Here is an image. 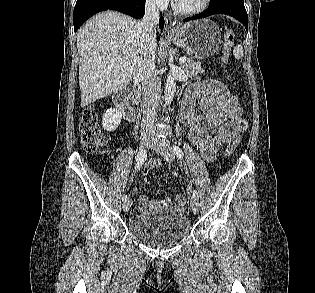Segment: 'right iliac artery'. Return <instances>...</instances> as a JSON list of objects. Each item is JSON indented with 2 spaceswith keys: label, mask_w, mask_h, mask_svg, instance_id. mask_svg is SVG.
I'll return each instance as SVG.
<instances>
[{
  "label": "right iliac artery",
  "mask_w": 315,
  "mask_h": 293,
  "mask_svg": "<svg viewBox=\"0 0 315 293\" xmlns=\"http://www.w3.org/2000/svg\"><path fill=\"white\" fill-rule=\"evenodd\" d=\"M146 156H147L146 151L140 149L136 158L135 170H139L142 167L144 160L146 159ZM122 200L126 201L127 195L124 194L122 196Z\"/></svg>",
  "instance_id": "1"
}]
</instances>
